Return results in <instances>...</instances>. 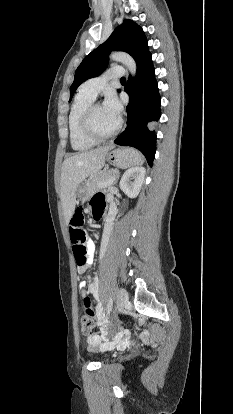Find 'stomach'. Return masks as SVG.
<instances>
[{
	"mask_svg": "<svg viewBox=\"0 0 233 414\" xmlns=\"http://www.w3.org/2000/svg\"><path fill=\"white\" fill-rule=\"evenodd\" d=\"M133 151V149L109 150L105 155V160L115 167L127 168L132 166L136 159ZM77 196L81 201H86L89 198L90 193L86 184H82L78 187Z\"/></svg>",
	"mask_w": 233,
	"mask_h": 414,
	"instance_id": "1",
	"label": "stomach"
}]
</instances>
